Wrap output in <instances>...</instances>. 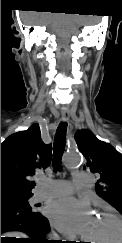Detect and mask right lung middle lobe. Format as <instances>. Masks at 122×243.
<instances>
[{
  "instance_id": "dd1d6c3e",
  "label": "right lung middle lobe",
  "mask_w": 122,
  "mask_h": 243,
  "mask_svg": "<svg viewBox=\"0 0 122 243\" xmlns=\"http://www.w3.org/2000/svg\"><path fill=\"white\" fill-rule=\"evenodd\" d=\"M30 197L31 196L1 199V205L10 204V205H16V206H21V207H25V208H31V206L28 203V199Z\"/></svg>"
}]
</instances>
